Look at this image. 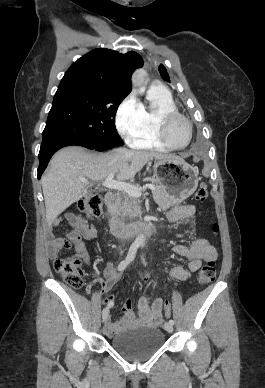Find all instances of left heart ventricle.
<instances>
[{"instance_id":"obj_1","label":"left heart ventricle","mask_w":265,"mask_h":388,"mask_svg":"<svg viewBox=\"0 0 265 388\" xmlns=\"http://www.w3.org/2000/svg\"><path fill=\"white\" fill-rule=\"evenodd\" d=\"M166 135L169 141L175 146L185 144L188 139L187 128L184 122L178 117L169 120L166 127Z\"/></svg>"}]
</instances>
